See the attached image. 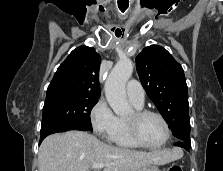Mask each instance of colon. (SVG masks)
I'll list each match as a JSON object with an SVG mask.
<instances>
[{"label":"colon","instance_id":"5ec220e1","mask_svg":"<svg viewBox=\"0 0 223 171\" xmlns=\"http://www.w3.org/2000/svg\"><path fill=\"white\" fill-rule=\"evenodd\" d=\"M167 171H182V168L178 165H171L168 167Z\"/></svg>","mask_w":223,"mask_h":171}]
</instances>
